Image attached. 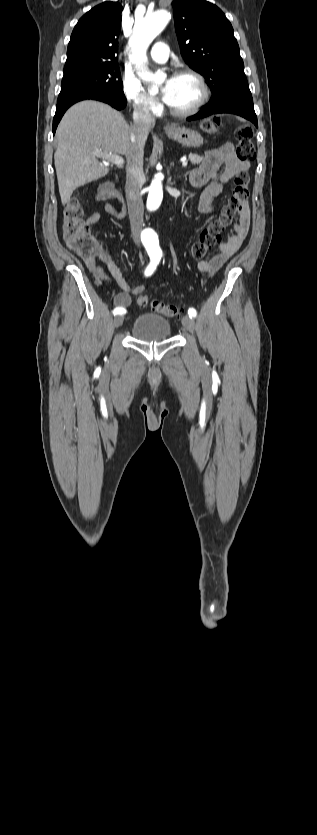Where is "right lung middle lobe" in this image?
<instances>
[{
	"label": "right lung middle lobe",
	"instance_id": "1",
	"mask_svg": "<svg viewBox=\"0 0 317 835\" xmlns=\"http://www.w3.org/2000/svg\"><path fill=\"white\" fill-rule=\"evenodd\" d=\"M124 95L118 64L75 62L66 64L57 103L97 92Z\"/></svg>",
	"mask_w": 317,
	"mask_h": 835
}]
</instances>
